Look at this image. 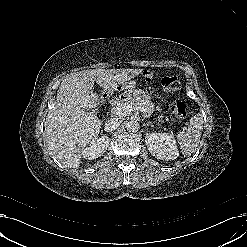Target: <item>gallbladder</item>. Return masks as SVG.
Instances as JSON below:
<instances>
[{
  "instance_id": "bac80fb5",
  "label": "gallbladder",
  "mask_w": 247,
  "mask_h": 247,
  "mask_svg": "<svg viewBox=\"0 0 247 247\" xmlns=\"http://www.w3.org/2000/svg\"><path fill=\"white\" fill-rule=\"evenodd\" d=\"M92 112H93V113H96V112H97V109H95V110H92Z\"/></svg>"
}]
</instances>
